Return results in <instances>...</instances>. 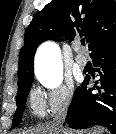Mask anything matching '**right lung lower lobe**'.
<instances>
[{
    "label": "right lung lower lobe",
    "mask_w": 116,
    "mask_h": 134,
    "mask_svg": "<svg viewBox=\"0 0 116 134\" xmlns=\"http://www.w3.org/2000/svg\"><path fill=\"white\" fill-rule=\"evenodd\" d=\"M100 79L87 87L84 80L74 93L66 122L70 128L85 129L94 125L107 127L116 134V36L90 53Z\"/></svg>",
    "instance_id": "obj_1"
}]
</instances>
